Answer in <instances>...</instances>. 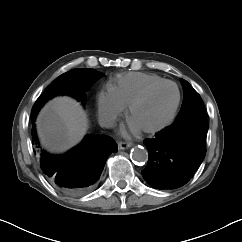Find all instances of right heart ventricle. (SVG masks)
Listing matches in <instances>:
<instances>
[{"label": "right heart ventricle", "instance_id": "right-heart-ventricle-1", "mask_svg": "<svg viewBox=\"0 0 242 242\" xmlns=\"http://www.w3.org/2000/svg\"><path fill=\"white\" fill-rule=\"evenodd\" d=\"M156 74L131 72L117 76L110 84V90L117 100L125 107L128 106L147 87L163 81Z\"/></svg>", "mask_w": 242, "mask_h": 242}]
</instances>
